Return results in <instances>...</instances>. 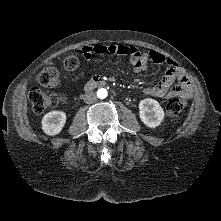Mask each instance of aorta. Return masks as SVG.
Segmentation results:
<instances>
[{
	"mask_svg": "<svg viewBox=\"0 0 221 221\" xmlns=\"http://www.w3.org/2000/svg\"><path fill=\"white\" fill-rule=\"evenodd\" d=\"M107 90L105 89V88H100V89H98V91H97V96H98V98H100V99H104V98H106L107 97Z\"/></svg>",
	"mask_w": 221,
	"mask_h": 221,
	"instance_id": "obj_1",
	"label": "aorta"
}]
</instances>
